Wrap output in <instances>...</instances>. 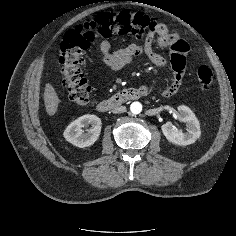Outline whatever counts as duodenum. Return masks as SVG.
I'll use <instances>...</instances> for the list:
<instances>
[{
	"instance_id": "410a0bca",
	"label": "duodenum",
	"mask_w": 236,
	"mask_h": 236,
	"mask_svg": "<svg viewBox=\"0 0 236 236\" xmlns=\"http://www.w3.org/2000/svg\"><path fill=\"white\" fill-rule=\"evenodd\" d=\"M147 94L142 87H132L123 89L112 97L97 103L96 108L100 112H107L114 108L120 107L128 101L139 99Z\"/></svg>"
}]
</instances>
